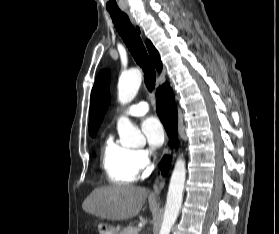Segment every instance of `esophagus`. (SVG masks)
Instances as JSON below:
<instances>
[{"label":"esophagus","instance_id":"34e87169","mask_svg":"<svg viewBox=\"0 0 279 234\" xmlns=\"http://www.w3.org/2000/svg\"><path fill=\"white\" fill-rule=\"evenodd\" d=\"M167 152H170V151L167 149ZM163 180H164V178H163L162 174H160L158 176L157 180H156L155 185H154V192H153L154 195H159L160 194V192L163 188Z\"/></svg>","mask_w":279,"mask_h":234}]
</instances>
